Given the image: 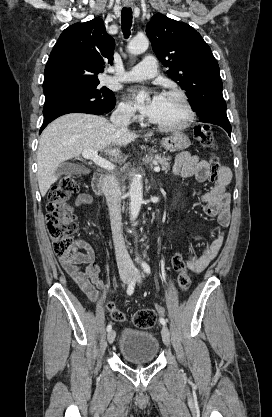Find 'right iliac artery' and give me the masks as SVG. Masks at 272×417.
<instances>
[{"instance_id": "obj_1", "label": "right iliac artery", "mask_w": 272, "mask_h": 417, "mask_svg": "<svg viewBox=\"0 0 272 417\" xmlns=\"http://www.w3.org/2000/svg\"><path fill=\"white\" fill-rule=\"evenodd\" d=\"M135 284H136V276L131 280V282L128 285V288H127V294L128 295H132L133 294L134 288H135ZM111 329H112V326H111V324H109L107 326V331L109 332V331H111Z\"/></svg>"}]
</instances>
